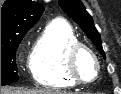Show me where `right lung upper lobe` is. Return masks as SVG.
I'll use <instances>...</instances> for the list:
<instances>
[{"label":"right lung upper lobe","mask_w":121,"mask_h":94,"mask_svg":"<svg viewBox=\"0 0 121 94\" xmlns=\"http://www.w3.org/2000/svg\"><path fill=\"white\" fill-rule=\"evenodd\" d=\"M44 11L40 3L32 0H6L1 8V37L29 30Z\"/></svg>","instance_id":"right-lung-upper-lobe-1"}]
</instances>
